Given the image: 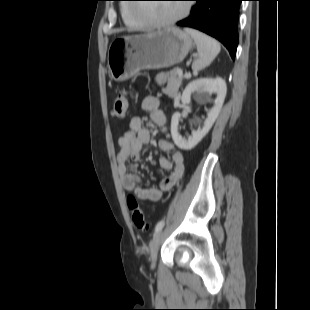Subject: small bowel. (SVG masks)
I'll use <instances>...</instances> for the list:
<instances>
[{
  "mask_svg": "<svg viewBox=\"0 0 310 310\" xmlns=\"http://www.w3.org/2000/svg\"><path fill=\"white\" fill-rule=\"evenodd\" d=\"M142 109L148 113L152 122L162 131L166 130L167 114L160 107V100L154 96H147L142 101ZM151 131L143 124L140 116H133L129 121L128 130L119 138V148L116 153L117 171L122 187L133 192L140 200L158 201L163 194L171 190L182 178L185 164L184 156L176 151L174 145L165 139L159 141L162 152L171 153L170 158L160 157L159 165L168 173L158 187H144L138 175L128 171V161H139L143 147L149 143Z\"/></svg>",
  "mask_w": 310,
  "mask_h": 310,
  "instance_id": "1",
  "label": "small bowel"
}]
</instances>
